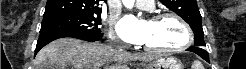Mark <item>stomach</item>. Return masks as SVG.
I'll return each mask as SVG.
<instances>
[{
  "instance_id": "stomach-1",
  "label": "stomach",
  "mask_w": 246,
  "mask_h": 69,
  "mask_svg": "<svg viewBox=\"0 0 246 69\" xmlns=\"http://www.w3.org/2000/svg\"><path fill=\"white\" fill-rule=\"evenodd\" d=\"M144 69H184V67L173 57H160L145 65Z\"/></svg>"
}]
</instances>
